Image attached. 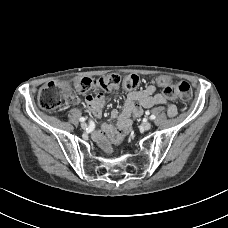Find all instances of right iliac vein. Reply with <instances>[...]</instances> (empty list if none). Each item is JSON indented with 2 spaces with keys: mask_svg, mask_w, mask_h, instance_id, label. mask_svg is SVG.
<instances>
[{
  "mask_svg": "<svg viewBox=\"0 0 228 228\" xmlns=\"http://www.w3.org/2000/svg\"><path fill=\"white\" fill-rule=\"evenodd\" d=\"M81 128L84 129V130L87 129V124L86 123H81Z\"/></svg>",
  "mask_w": 228,
  "mask_h": 228,
  "instance_id": "obj_1",
  "label": "right iliac vein"
}]
</instances>
